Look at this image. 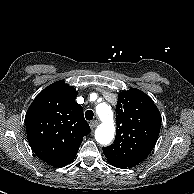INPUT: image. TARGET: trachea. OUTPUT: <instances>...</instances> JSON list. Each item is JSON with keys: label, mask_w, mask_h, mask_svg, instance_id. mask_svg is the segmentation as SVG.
I'll return each mask as SVG.
<instances>
[{"label": "trachea", "mask_w": 194, "mask_h": 194, "mask_svg": "<svg viewBox=\"0 0 194 194\" xmlns=\"http://www.w3.org/2000/svg\"><path fill=\"white\" fill-rule=\"evenodd\" d=\"M93 116H94V113L92 110H87L85 112V118L88 120V121H91L93 119Z\"/></svg>", "instance_id": "obj_1"}]
</instances>
